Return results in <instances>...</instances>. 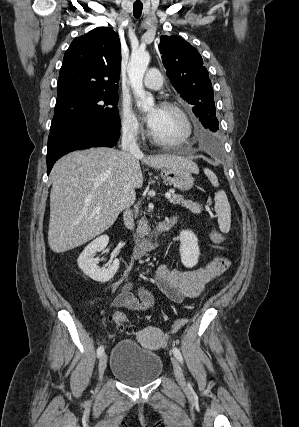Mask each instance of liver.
<instances>
[{
  "label": "liver",
  "instance_id": "obj_1",
  "mask_svg": "<svg viewBox=\"0 0 299 427\" xmlns=\"http://www.w3.org/2000/svg\"><path fill=\"white\" fill-rule=\"evenodd\" d=\"M140 161L156 169L199 172L193 161L180 156L135 155L108 147L74 151L55 163L48 231L54 252H66L100 235L134 203L135 190L143 185Z\"/></svg>",
  "mask_w": 299,
  "mask_h": 427
}]
</instances>
